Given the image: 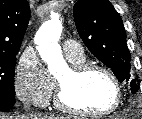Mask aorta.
Segmentation results:
<instances>
[{"label": "aorta", "instance_id": "aorta-1", "mask_svg": "<svg viewBox=\"0 0 142 119\" xmlns=\"http://www.w3.org/2000/svg\"><path fill=\"white\" fill-rule=\"evenodd\" d=\"M62 34V23L57 13L41 25L35 35V43L41 58L47 63L48 71L56 74L66 67L58 41Z\"/></svg>", "mask_w": 142, "mask_h": 119}]
</instances>
